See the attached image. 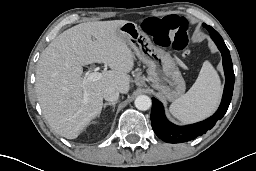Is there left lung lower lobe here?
<instances>
[{
	"mask_svg": "<svg viewBox=\"0 0 256 171\" xmlns=\"http://www.w3.org/2000/svg\"><path fill=\"white\" fill-rule=\"evenodd\" d=\"M204 27L210 32L211 38L216 43L222 54L226 78L222 101L217 112L210 118L191 125L177 126L166 119L161 102L155 98H152V128L160 139L168 143L186 142L205 134L207 130L211 129L216 122L224 116L232 98L235 76L229 50L226 47L222 37L216 30L206 24H204Z\"/></svg>",
	"mask_w": 256,
	"mask_h": 171,
	"instance_id": "1",
	"label": "left lung lower lobe"
}]
</instances>
